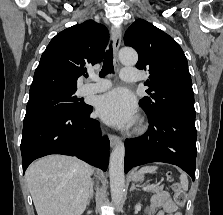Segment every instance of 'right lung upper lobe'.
<instances>
[{
	"label": "right lung upper lobe",
	"instance_id": "cb5924a9",
	"mask_svg": "<svg viewBox=\"0 0 223 215\" xmlns=\"http://www.w3.org/2000/svg\"><path fill=\"white\" fill-rule=\"evenodd\" d=\"M108 35L107 28L93 20L58 33L41 56L30 92L77 90V79L86 66L102 61Z\"/></svg>",
	"mask_w": 223,
	"mask_h": 215
}]
</instances>
